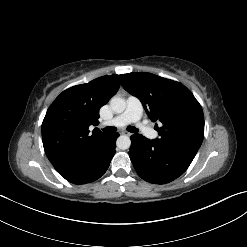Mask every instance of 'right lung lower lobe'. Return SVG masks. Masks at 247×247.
Returning a JSON list of instances; mask_svg holds the SVG:
<instances>
[{"instance_id":"obj_1","label":"right lung lower lobe","mask_w":247,"mask_h":247,"mask_svg":"<svg viewBox=\"0 0 247 247\" xmlns=\"http://www.w3.org/2000/svg\"><path fill=\"white\" fill-rule=\"evenodd\" d=\"M118 136V133L106 134L82 156L55 165L54 168L71 183L85 184L93 182L108 169L115 154Z\"/></svg>"}]
</instances>
